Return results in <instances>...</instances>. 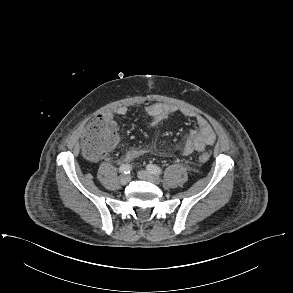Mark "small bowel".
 Wrapping results in <instances>:
<instances>
[{
  "instance_id": "small-bowel-1",
  "label": "small bowel",
  "mask_w": 293,
  "mask_h": 293,
  "mask_svg": "<svg viewBox=\"0 0 293 293\" xmlns=\"http://www.w3.org/2000/svg\"><path fill=\"white\" fill-rule=\"evenodd\" d=\"M128 108L125 106H119L112 110L103 113V117L110 121H114L117 116H124L128 113ZM179 111L182 115L188 118H193L196 123V128L189 132L186 141L183 144L182 152L184 155H191L194 152L203 151L207 146L213 144L216 140V136L213 128L208 123L205 117L199 114H195L189 110H179L175 106L152 103L144 108V112L151 118L153 125L159 124L167 119L171 114ZM118 141V138H117ZM161 155H166V152H159ZM144 154L143 150L131 149L123 157L124 161H131Z\"/></svg>"
}]
</instances>
